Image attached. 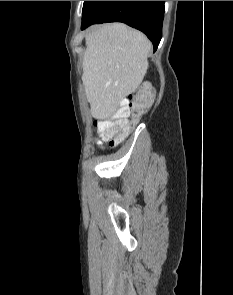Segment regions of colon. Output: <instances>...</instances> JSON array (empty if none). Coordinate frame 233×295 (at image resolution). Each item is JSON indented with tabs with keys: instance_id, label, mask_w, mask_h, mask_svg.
<instances>
[{
	"instance_id": "obj_1",
	"label": "colon",
	"mask_w": 233,
	"mask_h": 295,
	"mask_svg": "<svg viewBox=\"0 0 233 295\" xmlns=\"http://www.w3.org/2000/svg\"><path fill=\"white\" fill-rule=\"evenodd\" d=\"M152 97L150 87L144 84L122 101L113 116L95 121L94 126L101 138L110 145L122 142L129 134L132 125L150 107Z\"/></svg>"
}]
</instances>
